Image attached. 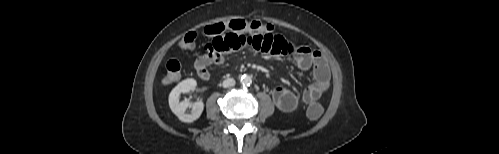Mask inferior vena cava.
I'll return each instance as SVG.
<instances>
[{
  "label": "inferior vena cava",
  "instance_id": "inferior-vena-cava-1",
  "mask_svg": "<svg viewBox=\"0 0 499 154\" xmlns=\"http://www.w3.org/2000/svg\"><path fill=\"white\" fill-rule=\"evenodd\" d=\"M222 85L224 88L232 87L235 85V80L233 78H228L223 81Z\"/></svg>",
  "mask_w": 499,
  "mask_h": 154
}]
</instances>
